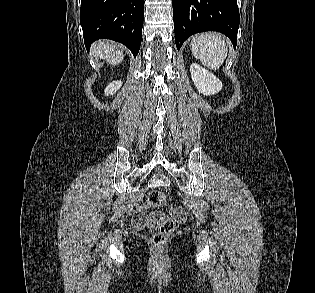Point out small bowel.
I'll return each instance as SVG.
<instances>
[{"label": "small bowel", "mask_w": 315, "mask_h": 293, "mask_svg": "<svg viewBox=\"0 0 315 293\" xmlns=\"http://www.w3.org/2000/svg\"><path fill=\"white\" fill-rule=\"evenodd\" d=\"M153 206L154 205L147 201L139 207L133 218V222L137 227H150L151 230H158V222L165 216L164 213L160 211H149Z\"/></svg>", "instance_id": "obj_1"}]
</instances>
